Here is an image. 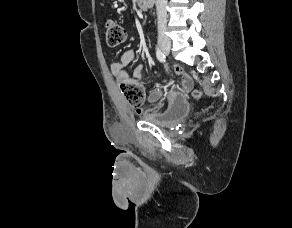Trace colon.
<instances>
[{
	"mask_svg": "<svg viewBox=\"0 0 292 228\" xmlns=\"http://www.w3.org/2000/svg\"><path fill=\"white\" fill-rule=\"evenodd\" d=\"M106 41L110 46H118L126 39V31L120 23L115 20H108L105 24ZM121 93L127 102L134 106L139 107L144 98L142 86L134 79L127 78L119 81ZM193 96L199 99L201 92L194 90Z\"/></svg>",
	"mask_w": 292,
	"mask_h": 228,
	"instance_id": "colon-1",
	"label": "colon"
}]
</instances>
